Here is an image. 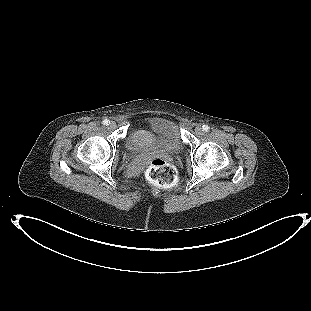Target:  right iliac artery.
Here are the masks:
<instances>
[{
	"label": "right iliac artery",
	"mask_w": 311,
	"mask_h": 311,
	"mask_svg": "<svg viewBox=\"0 0 311 311\" xmlns=\"http://www.w3.org/2000/svg\"><path fill=\"white\" fill-rule=\"evenodd\" d=\"M103 124L106 126L109 125V120L108 119L103 120Z\"/></svg>",
	"instance_id": "82829eb1"
}]
</instances>
